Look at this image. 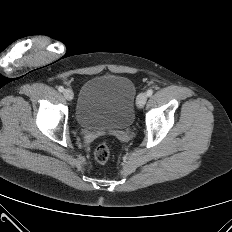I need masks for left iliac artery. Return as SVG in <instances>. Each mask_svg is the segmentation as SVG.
<instances>
[{"label": "left iliac artery", "mask_w": 232, "mask_h": 232, "mask_svg": "<svg viewBox=\"0 0 232 232\" xmlns=\"http://www.w3.org/2000/svg\"><path fill=\"white\" fill-rule=\"evenodd\" d=\"M147 96L150 97L153 94V90L152 89H148L146 92Z\"/></svg>", "instance_id": "44dca946"}]
</instances>
